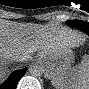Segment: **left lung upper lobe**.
Wrapping results in <instances>:
<instances>
[{"mask_svg":"<svg viewBox=\"0 0 89 89\" xmlns=\"http://www.w3.org/2000/svg\"><path fill=\"white\" fill-rule=\"evenodd\" d=\"M67 24L71 27H80V26H87L89 28V24L84 21H79V20H72V21H67Z\"/></svg>","mask_w":89,"mask_h":89,"instance_id":"5c2ea615","label":"left lung upper lobe"}]
</instances>
